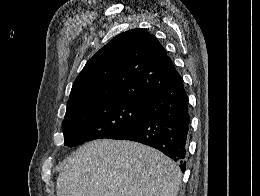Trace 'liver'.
I'll use <instances>...</instances> for the list:
<instances>
[{
    "instance_id": "obj_1",
    "label": "liver",
    "mask_w": 260,
    "mask_h": 196,
    "mask_svg": "<svg viewBox=\"0 0 260 196\" xmlns=\"http://www.w3.org/2000/svg\"><path fill=\"white\" fill-rule=\"evenodd\" d=\"M181 172L159 150L128 140H93L68 158L57 196H178Z\"/></svg>"
}]
</instances>
